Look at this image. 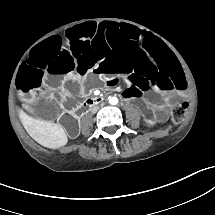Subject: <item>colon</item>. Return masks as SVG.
<instances>
[{
	"label": "colon",
	"instance_id": "5ec220e1",
	"mask_svg": "<svg viewBox=\"0 0 215 215\" xmlns=\"http://www.w3.org/2000/svg\"><path fill=\"white\" fill-rule=\"evenodd\" d=\"M188 109V103L184 102L176 106L172 111V121L174 124H180L185 116Z\"/></svg>",
	"mask_w": 215,
	"mask_h": 215
}]
</instances>
